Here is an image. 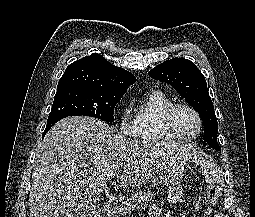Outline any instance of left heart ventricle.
I'll return each mask as SVG.
<instances>
[{
    "instance_id": "left-heart-ventricle-1",
    "label": "left heart ventricle",
    "mask_w": 255,
    "mask_h": 217,
    "mask_svg": "<svg viewBox=\"0 0 255 217\" xmlns=\"http://www.w3.org/2000/svg\"><path fill=\"white\" fill-rule=\"evenodd\" d=\"M173 121L176 129L184 135L194 134L198 126L195 115L184 108L176 111Z\"/></svg>"
}]
</instances>
